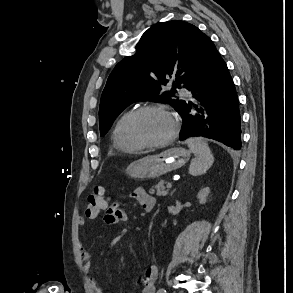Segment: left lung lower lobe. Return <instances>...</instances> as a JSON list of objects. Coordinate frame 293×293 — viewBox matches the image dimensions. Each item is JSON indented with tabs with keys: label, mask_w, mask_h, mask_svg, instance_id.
I'll return each mask as SVG.
<instances>
[{
	"label": "left lung lower lobe",
	"mask_w": 293,
	"mask_h": 293,
	"mask_svg": "<svg viewBox=\"0 0 293 293\" xmlns=\"http://www.w3.org/2000/svg\"><path fill=\"white\" fill-rule=\"evenodd\" d=\"M179 114L183 118L180 140L203 136L241 148V117L238 97L227 65L213 42L209 43L199 81L188 89Z\"/></svg>",
	"instance_id": "1"
}]
</instances>
